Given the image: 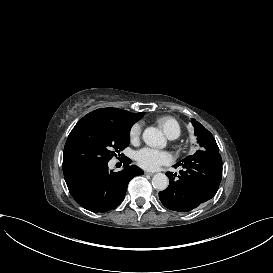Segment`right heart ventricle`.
I'll list each match as a JSON object with an SVG mask.
<instances>
[{"label": "right heart ventricle", "mask_w": 273, "mask_h": 273, "mask_svg": "<svg viewBox=\"0 0 273 273\" xmlns=\"http://www.w3.org/2000/svg\"><path fill=\"white\" fill-rule=\"evenodd\" d=\"M155 122L169 139H176L182 133V124L174 116H160L155 120Z\"/></svg>", "instance_id": "e07e8e85"}]
</instances>
